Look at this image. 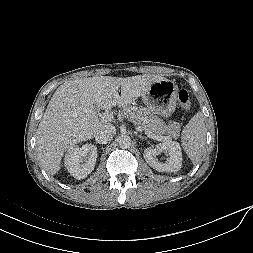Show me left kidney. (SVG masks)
<instances>
[{
	"label": "left kidney",
	"mask_w": 253,
	"mask_h": 253,
	"mask_svg": "<svg viewBox=\"0 0 253 253\" xmlns=\"http://www.w3.org/2000/svg\"><path fill=\"white\" fill-rule=\"evenodd\" d=\"M162 152L169 155V158H167L165 163L160 162L157 159V156ZM143 156L149 166L159 172H177L182 166V152L180 145L174 141L159 143L155 148L149 147L144 150Z\"/></svg>",
	"instance_id": "obj_1"
}]
</instances>
